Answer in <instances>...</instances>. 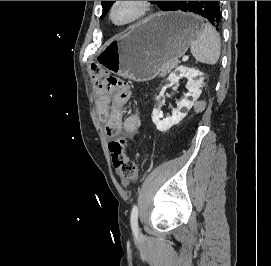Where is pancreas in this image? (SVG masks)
Instances as JSON below:
<instances>
[{
    "label": "pancreas",
    "instance_id": "obj_1",
    "mask_svg": "<svg viewBox=\"0 0 271 266\" xmlns=\"http://www.w3.org/2000/svg\"><path fill=\"white\" fill-rule=\"evenodd\" d=\"M177 61L173 62H166L162 65V72L160 73L161 76H165L167 72H169L171 69L175 68L177 66Z\"/></svg>",
    "mask_w": 271,
    "mask_h": 266
}]
</instances>
